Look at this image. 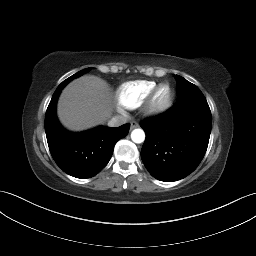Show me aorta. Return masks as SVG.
Instances as JSON below:
<instances>
[{
    "label": "aorta",
    "mask_w": 256,
    "mask_h": 256,
    "mask_svg": "<svg viewBox=\"0 0 256 256\" xmlns=\"http://www.w3.org/2000/svg\"><path fill=\"white\" fill-rule=\"evenodd\" d=\"M131 139L134 143H142L145 140V133L142 129H134L131 132Z\"/></svg>",
    "instance_id": "obj_1"
}]
</instances>
